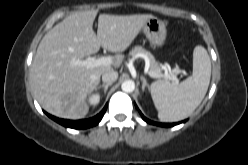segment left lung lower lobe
I'll return each instance as SVG.
<instances>
[{"instance_id":"left-lung-lower-lobe-1","label":"left lung lower lobe","mask_w":248,"mask_h":165,"mask_svg":"<svg viewBox=\"0 0 248 165\" xmlns=\"http://www.w3.org/2000/svg\"><path fill=\"white\" fill-rule=\"evenodd\" d=\"M140 114H141L143 120L149 124H154V125H158V126H162V127H171V126H174L177 124V123H156V122L150 121L147 118H145L141 112H140Z\"/></svg>"}]
</instances>
